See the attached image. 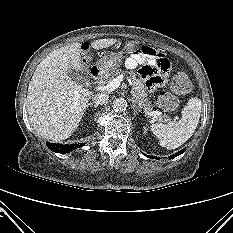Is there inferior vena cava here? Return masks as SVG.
Segmentation results:
<instances>
[{
	"instance_id": "inferior-vena-cava-1",
	"label": "inferior vena cava",
	"mask_w": 233,
	"mask_h": 233,
	"mask_svg": "<svg viewBox=\"0 0 233 233\" xmlns=\"http://www.w3.org/2000/svg\"><path fill=\"white\" fill-rule=\"evenodd\" d=\"M108 100V95L97 93L93 97V102L97 105H103Z\"/></svg>"
}]
</instances>
